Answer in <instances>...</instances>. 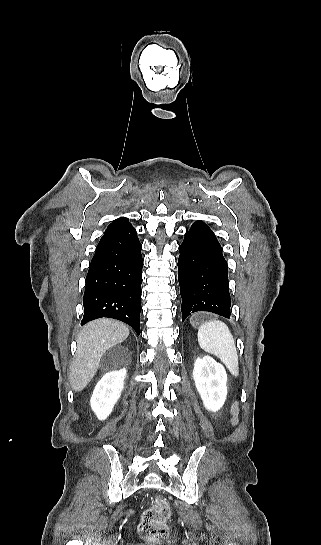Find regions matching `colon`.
<instances>
[{
	"mask_svg": "<svg viewBox=\"0 0 321 545\" xmlns=\"http://www.w3.org/2000/svg\"><path fill=\"white\" fill-rule=\"evenodd\" d=\"M170 514L167 501L162 497H156L142 514L140 534L150 542L156 544L164 542L168 536L166 522Z\"/></svg>",
	"mask_w": 321,
	"mask_h": 545,
	"instance_id": "obj_1",
	"label": "colon"
}]
</instances>
